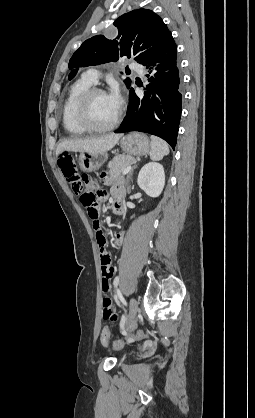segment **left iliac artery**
<instances>
[{
	"label": "left iliac artery",
	"mask_w": 255,
	"mask_h": 418,
	"mask_svg": "<svg viewBox=\"0 0 255 418\" xmlns=\"http://www.w3.org/2000/svg\"><path fill=\"white\" fill-rule=\"evenodd\" d=\"M117 287V286H116ZM116 292L118 293V297L121 299V301L124 303V304H126V302H125V300H124V298L122 297V295H121V292H120V290L117 288L116 289Z\"/></svg>",
	"instance_id": "44dca946"
}]
</instances>
